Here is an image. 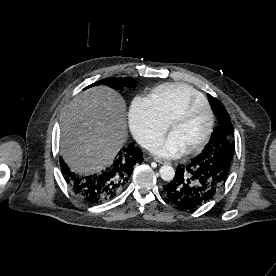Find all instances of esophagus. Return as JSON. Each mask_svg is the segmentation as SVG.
<instances>
[{"label":"esophagus","instance_id":"34e87169","mask_svg":"<svg viewBox=\"0 0 276 276\" xmlns=\"http://www.w3.org/2000/svg\"><path fill=\"white\" fill-rule=\"evenodd\" d=\"M154 160L160 164H169L170 161L162 158L155 157Z\"/></svg>","mask_w":276,"mask_h":276}]
</instances>
